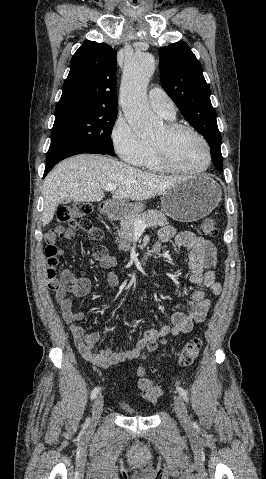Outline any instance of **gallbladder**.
Returning <instances> with one entry per match:
<instances>
[{"label": "gallbladder", "instance_id": "gallbladder-1", "mask_svg": "<svg viewBox=\"0 0 266 479\" xmlns=\"http://www.w3.org/2000/svg\"><path fill=\"white\" fill-rule=\"evenodd\" d=\"M69 202H70V200L68 198H64L60 201V203H62V204H67Z\"/></svg>", "mask_w": 266, "mask_h": 479}]
</instances>
